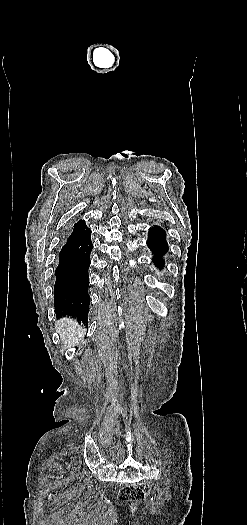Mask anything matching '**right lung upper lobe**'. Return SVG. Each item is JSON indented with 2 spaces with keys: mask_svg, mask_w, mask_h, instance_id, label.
Returning <instances> with one entry per match:
<instances>
[{
  "mask_svg": "<svg viewBox=\"0 0 247 525\" xmlns=\"http://www.w3.org/2000/svg\"><path fill=\"white\" fill-rule=\"evenodd\" d=\"M85 225H86V224L84 223V221H83V220H80V221H78V222L74 225L73 230L79 229V228H81V227H83V226H85Z\"/></svg>",
  "mask_w": 247,
  "mask_h": 525,
  "instance_id": "right-lung-upper-lobe-1",
  "label": "right lung upper lobe"
}]
</instances>
